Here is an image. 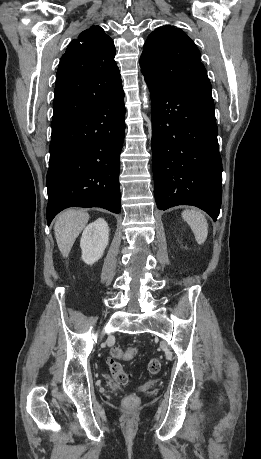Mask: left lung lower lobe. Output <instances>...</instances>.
I'll use <instances>...</instances> for the list:
<instances>
[{"label": "left lung lower lobe", "mask_w": 261, "mask_h": 459, "mask_svg": "<svg viewBox=\"0 0 261 459\" xmlns=\"http://www.w3.org/2000/svg\"><path fill=\"white\" fill-rule=\"evenodd\" d=\"M144 78L151 92L157 207L193 205L216 220L222 198V162L211 92L178 89Z\"/></svg>", "instance_id": "1"}]
</instances>
